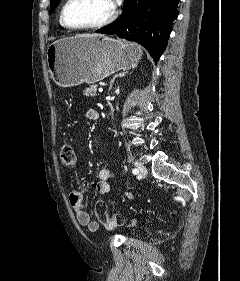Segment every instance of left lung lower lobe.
<instances>
[{
	"mask_svg": "<svg viewBox=\"0 0 240 281\" xmlns=\"http://www.w3.org/2000/svg\"><path fill=\"white\" fill-rule=\"evenodd\" d=\"M180 0H124L123 13L96 33L113 35L144 46L155 62L165 50Z\"/></svg>",
	"mask_w": 240,
	"mask_h": 281,
	"instance_id": "0a47b994",
	"label": "left lung lower lobe"
}]
</instances>
